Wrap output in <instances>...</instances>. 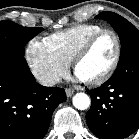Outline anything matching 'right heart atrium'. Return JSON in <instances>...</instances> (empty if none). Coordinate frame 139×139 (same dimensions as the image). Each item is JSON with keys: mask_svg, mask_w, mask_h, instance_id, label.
<instances>
[{"mask_svg": "<svg viewBox=\"0 0 139 139\" xmlns=\"http://www.w3.org/2000/svg\"><path fill=\"white\" fill-rule=\"evenodd\" d=\"M25 58L36 79L45 86L57 83L68 71L69 62L55 52L46 39H32Z\"/></svg>", "mask_w": 139, "mask_h": 139, "instance_id": "obj_1", "label": "right heart atrium"}]
</instances>
